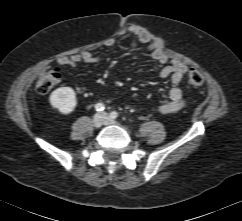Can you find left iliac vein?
Masks as SVG:
<instances>
[{
	"instance_id": "obj_1",
	"label": "left iliac vein",
	"mask_w": 242,
	"mask_h": 221,
	"mask_svg": "<svg viewBox=\"0 0 242 221\" xmlns=\"http://www.w3.org/2000/svg\"><path fill=\"white\" fill-rule=\"evenodd\" d=\"M102 115L105 118L104 124H106V125H114V124H117V122H115L114 120L108 118L106 113H102Z\"/></svg>"
}]
</instances>
